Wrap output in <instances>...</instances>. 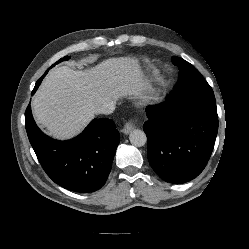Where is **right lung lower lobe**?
<instances>
[{"mask_svg": "<svg viewBox=\"0 0 249 249\" xmlns=\"http://www.w3.org/2000/svg\"><path fill=\"white\" fill-rule=\"evenodd\" d=\"M25 122L36 156L55 183L75 192H93L105 184L119 144V132L112 120L94 119L69 141H57L45 135L35 124L30 105L25 112Z\"/></svg>", "mask_w": 249, "mask_h": 249, "instance_id": "98d812e1", "label": "right lung lower lobe"}]
</instances>
